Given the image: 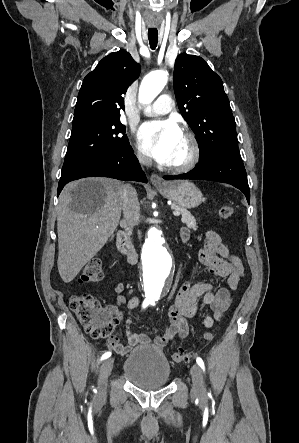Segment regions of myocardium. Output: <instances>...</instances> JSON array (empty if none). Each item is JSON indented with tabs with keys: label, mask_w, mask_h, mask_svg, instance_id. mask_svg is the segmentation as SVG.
Masks as SVG:
<instances>
[{
	"label": "myocardium",
	"mask_w": 299,
	"mask_h": 443,
	"mask_svg": "<svg viewBox=\"0 0 299 443\" xmlns=\"http://www.w3.org/2000/svg\"><path fill=\"white\" fill-rule=\"evenodd\" d=\"M183 136L189 145V154L187 159L181 164L165 165L168 170L177 173H183L193 169L198 163L201 155L200 146L196 136L190 131H185Z\"/></svg>",
	"instance_id": "obj_1"
}]
</instances>
